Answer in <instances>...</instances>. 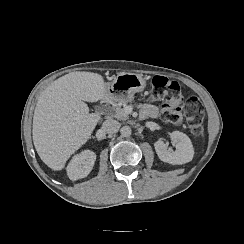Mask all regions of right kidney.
Returning a JSON list of instances; mask_svg holds the SVG:
<instances>
[{
	"mask_svg": "<svg viewBox=\"0 0 244 244\" xmlns=\"http://www.w3.org/2000/svg\"><path fill=\"white\" fill-rule=\"evenodd\" d=\"M96 154L92 151H84L75 156L67 167L68 176L71 180H78L86 177L92 170Z\"/></svg>",
	"mask_w": 244,
	"mask_h": 244,
	"instance_id": "obj_1",
	"label": "right kidney"
}]
</instances>
